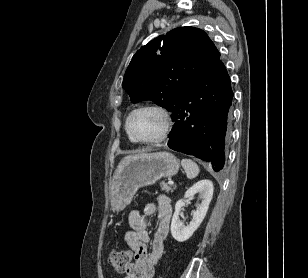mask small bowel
<instances>
[{
    "label": "small bowel",
    "instance_id": "c3829d8e",
    "mask_svg": "<svg viewBox=\"0 0 308 278\" xmlns=\"http://www.w3.org/2000/svg\"><path fill=\"white\" fill-rule=\"evenodd\" d=\"M155 213L158 214V224L151 240L148 232V220ZM172 206L170 198L164 194L158 195L156 203H148L143 214L134 210L128 216L130 230L124 239L133 252V262L125 270L124 278H153L164 249V240L168 235ZM151 249L148 251V244Z\"/></svg>",
    "mask_w": 308,
    "mask_h": 278
}]
</instances>
